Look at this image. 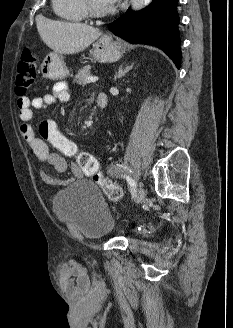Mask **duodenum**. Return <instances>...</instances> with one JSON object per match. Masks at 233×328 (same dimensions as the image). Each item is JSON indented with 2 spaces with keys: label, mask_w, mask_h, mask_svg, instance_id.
I'll use <instances>...</instances> for the list:
<instances>
[{
  "label": "duodenum",
  "mask_w": 233,
  "mask_h": 328,
  "mask_svg": "<svg viewBox=\"0 0 233 328\" xmlns=\"http://www.w3.org/2000/svg\"><path fill=\"white\" fill-rule=\"evenodd\" d=\"M97 104L100 108H105L108 104V97L104 93H100L97 97Z\"/></svg>",
  "instance_id": "410a0bca"
}]
</instances>
